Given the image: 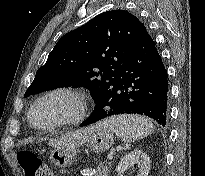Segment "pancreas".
<instances>
[{"mask_svg": "<svg viewBox=\"0 0 205 176\" xmlns=\"http://www.w3.org/2000/svg\"><path fill=\"white\" fill-rule=\"evenodd\" d=\"M111 166V162H104L101 163L95 172L93 169H90L89 171H92V176H108L109 169Z\"/></svg>", "mask_w": 205, "mask_h": 176, "instance_id": "pancreas-1", "label": "pancreas"}]
</instances>
